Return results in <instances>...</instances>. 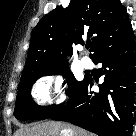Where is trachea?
<instances>
[{
    "instance_id": "trachea-1",
    "label": "trachea",
    "mask_w": 136,
    "mask_h": 136,
    "mask_svg": "<svg viewBox=\"0 0 136 136\" xmlns=\"http://www.w3.org/2000/svg\"><path fill=\"white\" fill-rule=\"evenodd\" d=\"M90 45H87L86 48L89 49Z\"/></svg>"
}]
</instances>
